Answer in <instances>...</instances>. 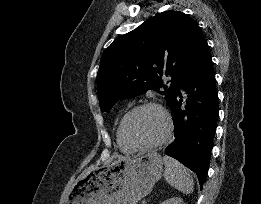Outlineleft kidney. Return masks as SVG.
I'll return each mask as SVG.
<instances>
[{
	"mask_svg": "<svg viewBox=\"0 0 261 204\" xmlns=\"http://www.w3.org/2000/svg\"><path fill=\"white\" fill-rule=\"evenodd\" d=\"M161 204H185L181 198L179 197H173L170 199H167L166 201L162 202Z\"/></svg>",
	"mask_w": 261,
	"mask_h": 204,
	"instance_id": "left-kidney-1",
	"label": "left kidney"
}]
</instances>
